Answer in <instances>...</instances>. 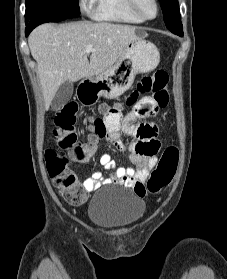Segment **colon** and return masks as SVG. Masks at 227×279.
Instances as JSON below:
<instances>
[{
    "instance_id": "1",
    "label": "colon",
    "mask_w": 227,
    "mask_h": 279,
    "mask_svg": "<svg viewBox=\"0 0 227 279\" xmlns=\"http://www.w3.org/2000/svg\"><path fill=\"white\" fill-rule=\"evenodd\" d=\"M167 83L166 72L162 70L154 72L138 83L136 89L129 95L126 104L131 106L140 99L138 105L140 116H148L158 109L166 107L169 102ZM105 109L107 110L108 107H105ZM77 114L78 107L75 102H69L55 112L52 133L59 146L67 153H61L53 149H48L45 153L49 176L57 179L56 186L59 192L67 201L72 203H79L78 192L81 185L76 174L68 167L69 159L72 157L78 161H88L95 152L94 147L85 146L78 141L74 131ZM115 115L116 113L112 111L109 113L112 119L109 130L118 132L120 125L115 122ZM92 125L95 134H101L106 130L105 121L99 116L93 118ZM136 133L141 138V142L136 147L137 153L145 157L154 156L159 147L155 143L144 141L154 135L153 129L149 126L140 125L136 129ZM178 163L179 151L176 146L170 145L165 149L157 166L148 178L146 191L143 189L141 182L136 179L128 180L126 185L131 186L138 196H144L147 191L158 193L172 182Z\"/></svg>"
}]
</instances>
